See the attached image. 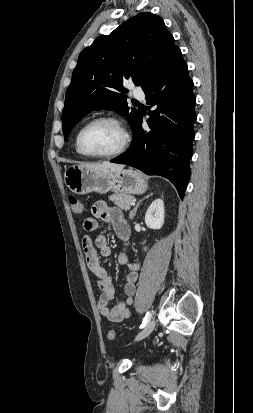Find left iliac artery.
<instances>
[{"label": "left iliac artery", "mask_w": 253, "mask_h": 413, "mask_svg": "<svg viewBox=\"0 0 253 413\" xmlns=\"http://www.w3.org/2000/svg\"><path fill=\"white\" fill-rule=\"evenodd\" d=\"M151 316H152V315H151V312H147V313H146V315H145V317H144V319H143V322H142L140 328H144V327H145L146 323L150 320Z\"/></svg>", "instance_id": "1"}]
</instances>
